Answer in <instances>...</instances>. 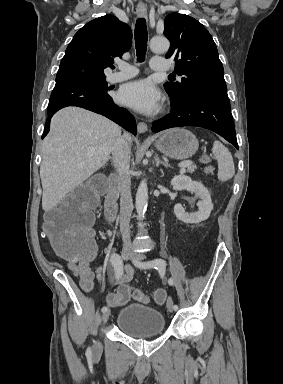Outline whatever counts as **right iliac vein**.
<instances>
[{"label": "right iliac vein", "mask_w": 283, "mask_h": 384, "mask_svg": "<svg viewBox=\"0 0 283 384\" xmlns=\"http://www.w3.org/2000/svg\"><path fill=\"white\" fill-rule=\"evenodd\" d=\"M131 256V252H130V249L128 247H123L122 251H121V257L123 260H128ZM110 316V310L107 309V311L103 312V315H102V318H101V322L102 324H105L108 320ZM102 351V345L100 343V341H95L94 342V345H93V355L94 356H98Z\"/></svg>", "instance_id": "1"}]
</instances>
